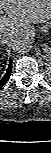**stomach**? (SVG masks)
<instances>
[{
	"label": "stomach",
	"mask_w": 51,
	"mask_h": 153,
	"mask_svg": "<svg viewBox=\"0 0 51 153\" xmlns=\"http://www.w3.org/2000/svg\"><path fill=\"white\" fill-rule=\"evenodd\" d=\"M47 40H48V41H51V37H47Z\"/></svg>",
	"instance_id": "1"
}]
</instances>
